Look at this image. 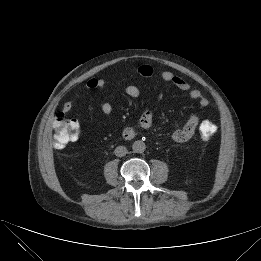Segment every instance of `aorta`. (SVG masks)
<instances>
[{
  "label": "aorta",
  "instance_id": "obj_1",
  "mask_svg": "<svg viewBox=\"0 0 261 261\" xmlns=\"http://www.w3.org/2000/svg\"><path fill=\"white\" fill-rule=\"evenodd\" d=\"M132 149L135 153H143L146 149V145L143 141L137 140L133 143Z\"/></svg>",
  "mask_w": 261,
  "mask_h": 261
}]
</instances>
